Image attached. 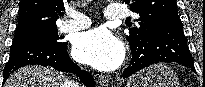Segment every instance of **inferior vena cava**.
Here are the masks:
<instances>
[{"label": "inferior vena cava", "mask_w": 205, "mask_h": 87, "mask_svg": "<svg viewBox=\"0 0 205 87\" xmlns=\"http://www.w3.org/2000/svg\"><path fill=\"white\" fill-rule=\"evenodd\" d=\"M69 87H76L75 84L70 83Z\"/></svg>", "instance_id": "1"}]
</instances>
